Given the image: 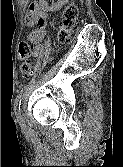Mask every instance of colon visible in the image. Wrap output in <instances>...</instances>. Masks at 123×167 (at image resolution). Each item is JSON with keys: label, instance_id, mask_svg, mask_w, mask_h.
<instances>
[{"label": "colon", "instance_id": "colon-1", "mask_svg": "<svg viewBox=\"0 0 123 167\" xmlns=\"http://www.w3.org/2000/svg\"><path fill=\"white\" fill-rule=\"evenodd\" d=\"M79 9L74 2L69 3L62 16L60 28L58 31L57 39L60 45L65 44L70 37L71 31L75 26ZM30 44L24 40L20 42L18 46V57L22 60L21 73L23 77L28 78L33 74V63L29 59L30 55Z\"/></svg>", "mask_w": 123, "mask_h": 167}]
</instances>
